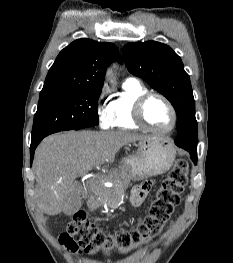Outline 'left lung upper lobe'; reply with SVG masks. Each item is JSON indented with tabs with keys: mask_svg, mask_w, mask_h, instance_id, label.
Returning a JSON list of instances; mask_svg holds the SVG:
<instances>
[{
	"mask_svg": "<svg viewBox=\"0 0 233 263\" xmlns=\"http://www.w3.org/2000/svg\"><path fill=\"white\" fill-rule=\"evenodd\" d=\"M123 58L132 74L143 78L173 105L178 131L175 143L197 146L195 101L181 58L168 45L155 41L126 44Z\"/></svg>",
	"mask_w": 233,
	"mask_h": 263,
	"instance_id": "5c2ea615",
	"label": "left lung upper lobe"
}]
</instances>
